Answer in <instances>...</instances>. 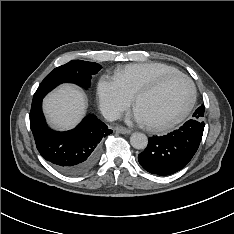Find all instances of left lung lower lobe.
Wrapping results in <instances>:
<instances>
[{"label": "left lung lower lobe", "instance_id": "0a47b994", "mask_svg": "<svg viewBox=\"0 0 234 234\" xmlns=\"http://www.w3.org/2000/svg\"><path fill=\"white\" fill-rule=\"evenodd\" d=\"M204 122L190 119L178 130L149 138L147 148L138 155L140 165L152 174L170 175L184 168L196 153Z\"/></svg>", "mask_w": 234, "mask_h": 234}]
</instances>
